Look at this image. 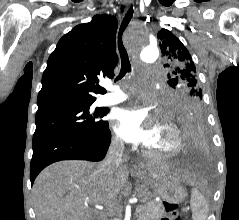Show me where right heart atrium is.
<instances>
[{
  "instance_id": "1",
  "label": "right heart atrium",
  "mask_w": 239,
  "mask_h": 220,
  "mask_svg": "<svg viewBox=\"0 0 239 220\" xmlns=\"http://www.w3.org/2000/svg\"><path fill=\"white\" fill-rule=\"evenodd\" d=\"M112 145L118 149L122 148V141L117 135L112 137Z\"/></svg>"
}]
</instances>
